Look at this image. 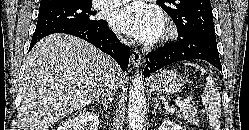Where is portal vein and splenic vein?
Instances as JSON below:
<instances>
[{
	"instance_id": "portal-vein-and-splenic-vein-1",
	"label": "portal vein and splenic vein",
	"mask_w": 249,
	"mask_h": 130,
	"mask_svg": "<svg viewBox=\"0 0 249 130\" xmlns=\"http://www.w3.org/2000/svg\"><path fill=\"white\" fill-rule=\"evenodd\" d=\"M190 101H191L190 98L181 100V101L177 102V106L178 107H184V106L188 105Z\"/></svg>"
}]
</instances>
